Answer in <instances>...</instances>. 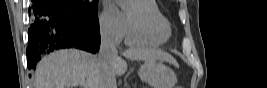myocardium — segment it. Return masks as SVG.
Listing matches in <instances>:
<instances>
[{
  "instance_id": "myocardium-1",
  "label": "myocardium",
  "mask_w": 267,
  "mask_h": 88,
  "mask_svg": "<svg viewBox=\"0 0 267 88\" xmlns=\"http://www.w3.org/2000/svg\"><path fill=\"white\" fill-rule=\"evenodd\" d=\"M126 19L130 29L138 34L147 36L161 34V28L155 17L133 2L127 10Z\"/></svg>"
}]
</instances>
